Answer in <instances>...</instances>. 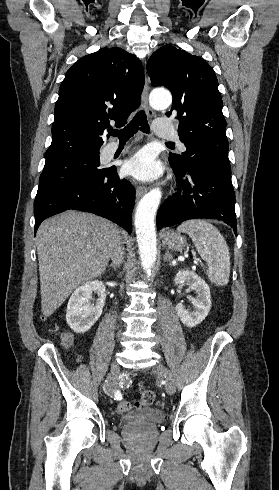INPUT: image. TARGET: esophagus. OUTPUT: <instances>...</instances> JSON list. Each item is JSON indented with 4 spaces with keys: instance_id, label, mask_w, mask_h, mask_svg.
<instances>
[{
    "instance_id": "1",
    "label": "esophagus",
    "mask_w": 279,
    "mask_h": 490,
    "mask_svg": "<svg viewBox=\"0 0 279 490\" xmlns=\"http://www.w3.org/2000/svg\"><path fill=\"white\" fill-rule=\"evenodd\" d=\"M148 95H149V82H148V79L147 77L145 78V85H144V89H143V92H142V103L146 109V112L148 114L149 117H153L155 112L152 110V108L148 105ZM146 192V188L143 187V186H138L137 189H136V198L137 200H139L141 197H143V195L145 194Z\"/></svg>"
}]
</instances>
